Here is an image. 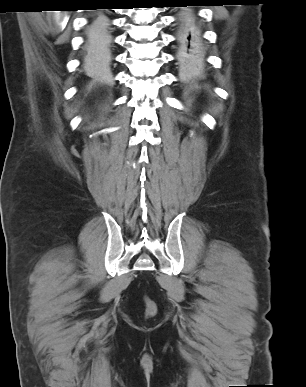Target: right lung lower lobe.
Returning <instances> with one entry per match:
<instances>
[{
    "label": "right lung lower lobe",
    "instance_id": "1",
    "mask_svg": "<svg viewBox=\"0 0 306 387\" xmlns=\"http://www.w3.org/2000/svg\"><path fill=\"white\" fill-rule=\"evenodd\" d=\"M109 23L105 16L97 15L88 27L85 62L95 64L106 59L110 45Z\"/></svg>",
    "mask_w": 306,
    "mask_h": 387
}]
</instances>
